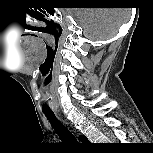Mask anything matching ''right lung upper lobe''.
I'll use <instances>...</instances> for the list:
<instances>
[{"label":"right lung upper lobe","mask_w":153,"mask_h":153,"mask_svg":"<svg viewBox=\"0 0 153 153\" xmlns=\"http://www.w3.org/2000/svg\"><path fill=\"white\" fill-rule=\"evenodd\" d=\"M80 140H82V142H88V141H87V138H86L85 136L80 137Z\"/></svg>","instance_id":"obj_1"}]
</instances>
